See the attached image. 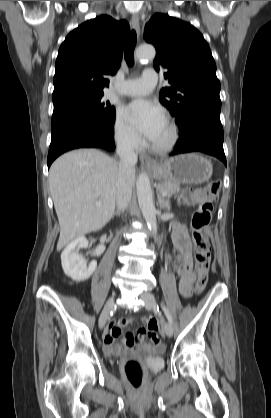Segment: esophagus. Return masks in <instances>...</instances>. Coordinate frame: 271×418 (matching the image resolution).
<instances>
[{
	"label": "esophagus",
	"mask_w": 271,
	"mask_h": 418,
	"mask_svg": "<svg viewBox=\"0 0 271 418\" xmlns=\"http://www.w3.org/2000/svg\"><path fill=\"white\" fill-rule=\"evenodd\" d=\"M132 25L137 33V36L139 37L140 34V21H139V15L137 13H134L132 15ZM140 161L145 166H155L156 163L146 154L141 153L140 154Z\"/></svg>",
	"instance_id": "1"
}]
</instances>
